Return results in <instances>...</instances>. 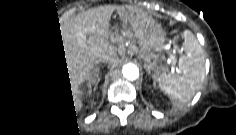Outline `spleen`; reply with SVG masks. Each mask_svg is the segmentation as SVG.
<instances>
[{
	"label": "spleen",
	"mask_w": 236,
	"mask_h": 135,
	"mask_svg": "<svg viewBox=\"0 0 236 135\" xmlns=\"http://www.w3.org/2000/svg\"><path fill=\"white\" fill-rule=\"evenodd\" d=\"M184 54L179 58L177 74L166 69L156 76L159 88L170 99L189 102L205 79V55L198 40L190 31L184 32Z\"/></svg>",
	"instance_id": "3e777b00"
}]
</instances>
